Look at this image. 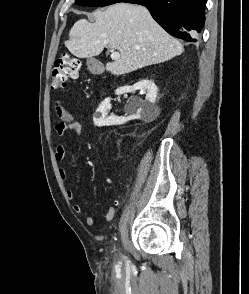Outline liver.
Wrapping results in <instances>:
<instances>
[{
	"label": "liver",
	"mask_w": 249,
	"mask_h": 294,
	"mask_svg": "<svg viewBox=\"0 0 249 294\" xmlns=\"http://www.w3.org/2000/svg\"><path fill=\"white\" fill-rule=\"evenodd\" d=\"M94 23L78 20L65 42L78 58L99 55L104 48L117 49L120 58L106 64L114 75H124L180 55L182 44L169 35L141 5L116 3L93 13Z\"/></svg>",
	"instance_id": "obj_1"
}]
</instances>
